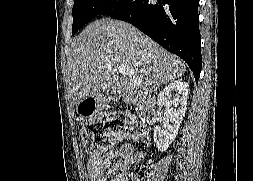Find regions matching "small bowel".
<instances>
[{"label": "small bowel", "instance_id": "obj_1", "mask_svg": "<svg viewBox=\"0 0 253 181\" xmlns=\"http://www.w3.org/2000/svg\"><path fill=\"white\" fill-rule=\"evenodd\" d=\"M142 158L131 143L125 142L116 150L92 155L87 163L90 181H122L127 176L129 163ZM114 162V163H113Z\"/></svg>", "mask_w": 253, "mask_h": 181}]
</instances>
